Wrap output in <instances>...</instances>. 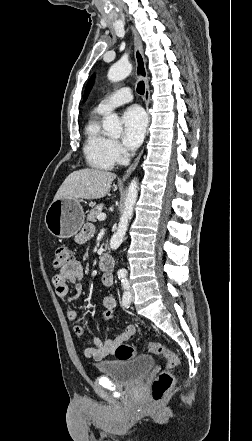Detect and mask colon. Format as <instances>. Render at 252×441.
<instances>
[{"mask_svg": "<svg viewBox=\"0 0 252 441\" xmlns=\"http://www.w3.org/2000/svg\"><path fill=\"white\" fill-rule=\"evenodd\" d=\"M72 261L71 251L65 246L56 248L52 260L53 269H61ZM115 312V306L107 304L102 307L100 321L106 323L110 321ZM145 348L148 352L160 355L166 359L165 368L157 375L152 384V399L155 403L163 400L173 385L172 370L178 365L179 359L177 355L159 342L150 341L146 343ZM136 355V350L126 344H121L115 351L118 359H129Z\"/></svg>", "mask_w": 252, "mask_h": 441, "instance_id": "5ec220e1", "label": "colon"}]
</instances>
